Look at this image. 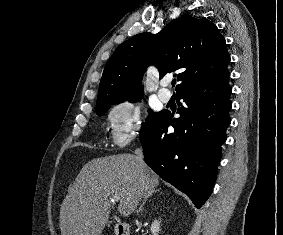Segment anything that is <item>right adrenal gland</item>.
I'll list each match as a JSON object with an SVG mask.
<instances>
[{
  "instance_id": "obj_1",
  "label": "right adrenal gland",
  "mask_w": 283,
  "mask_h": 235,
  "mask_svg": "<svg viewBox=\"0 0 283 235\" xmlns=\"http://www.w3.org/2000/svg\"><path fill=\"white\" fill-rule=\"evenodd\" d=\"M158 191H159V189H157V190H152V191L148 192V194L144 197V200H143L141 206L139 207V212L142 210V208H143L144 204L146 203V201L148 200V198H149L150 196H152L153 193H156V192H158Z\"/></svg>"
}]
</instances>
